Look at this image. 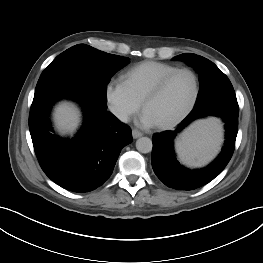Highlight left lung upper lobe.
<instances>
[{
    "instance_id": "1",
    "label": "left lung upper lobe",
    "mask_w": 263,
    "mask_h": 263,
    "mask_svg": "<svg viewBox=\"0 0 263 263\" xmlns=\"http://www.w3.org/2000/svg\"><path fill=\"white\" fill-rule=\"evenodd\" d=\"M192 66L200 76V91L196 104L224 94H235L228 77L210 60L191 53H184L173 58Z\"/></svg>"
}]
</instances>
